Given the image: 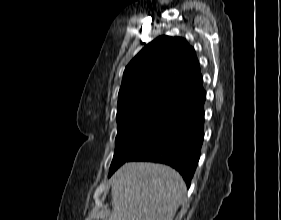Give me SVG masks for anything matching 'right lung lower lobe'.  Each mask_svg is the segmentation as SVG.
I'll return each mask as SVG.
<instances>
[{"label":"right lung lower lobe","mask_w":281,"mask_h":220,"mask_svg":"<svg viewBox=\"0 0 281 220\" xmlns=\"http://www.w3.org/2000/svg\"><path fill=\"white\" fill-rule=\"evenodd\" d=\"M206 93L179 108L128 161H152L175 168L187 187L198 165L204 132Z\"/></svg>","instance_id":"right-lung-lower-lobe-1"}]
</instances>
